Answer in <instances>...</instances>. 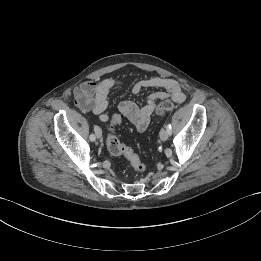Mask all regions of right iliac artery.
I'll return each instance as SVG.
<instances>
[{
    "mask_svg": "<svg viewBox=\"0 0 261 261\" xmlns=\"http://www.w3.org/2000/svg\"><path fill=\"white\" fill-rule=\"evenodd\" d=\"M97 128H98V126H95V127H94V130L96 131ZM90 140H91V141H94V140H95V135H94V134H91V135H90Z\"/></svg>",
    "mask_w": 261,
    "mask_h": 261,
    "instance_id": "82829eb1",
    "label": "right iliac artery"
}]
</instances>
